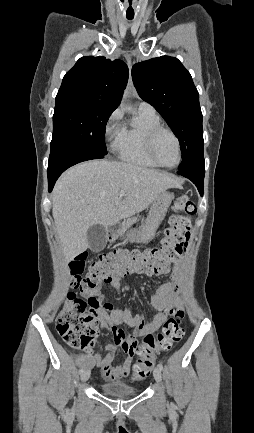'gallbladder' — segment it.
<instances>
[{
	"label": "gallbladder",
	"mask_w": 254,
	"mask_h": 433,
	"mask_svg": "<svg viewBox=\"0 0 254 433\" xmlns=\"http://www.w3.org/2000/svg\"><path fill=\"white\" fill-rule=\"evenodd\" d=\"M89 249L94 252L103 250L107 244L106 228L100 224H94L87 231Z\"/></svg>",
	"instance_id": "1"
}]
</instances>
